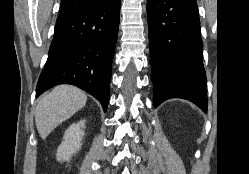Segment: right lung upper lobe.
Returning a JSON list of instances; mask_svg holds the SVG:
<instances>
[{"instance_id": "obj_1", "label": "right lung upper lobe", "mask_w": 249, "mask_h": 174, "mask_svg": "<svg viewBox=\"0 0 249 174\" xmlns=\"http://www.w3.org/2000/svg\"><path fill=\"white\" fill-rule=\"evenodd\" d=\"M113 0H62L58 18L69 16L80 10L106 4Z\"/></svg>"}]
</instances>
